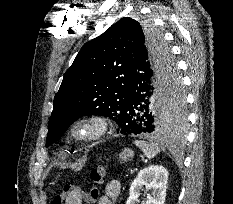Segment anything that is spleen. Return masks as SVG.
Segmentation results:
<instances>
[{
  "label": "spleen",
  "instance_id": "obj_1",
  "mask_svg": "<svg viewBox=\"0 0 233 204\" xmlns=\"http://www.w3.org/2000/svg\"><path fill=\"white\" fill-rule=\"evenodd\" d=\"M134 144L142 150V152L146 155L148 159L154 158L160 152L159 146L155 143H148L146 141L136 140L134 141ZM174 147V145L170 146V148ZM173 152L176 153V151Z\"/></svg>",
  "mask_w": 233,
  "mask_h": 204
}]
</instances>
